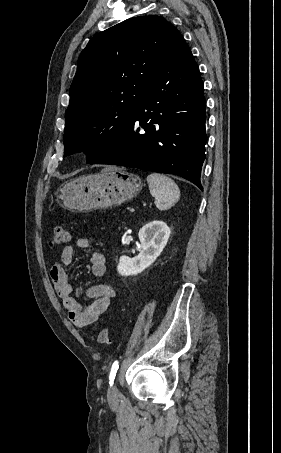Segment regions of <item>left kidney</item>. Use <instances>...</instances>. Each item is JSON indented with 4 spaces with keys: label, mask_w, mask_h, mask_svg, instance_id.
<instances>
[{
    "label": "left kidney",
    "mask_w": 281,
    "mask_h": 453,
    "mask_svg": "<svg viewBox=\"0 0 281 453\" xmlns=\"http://www.w3.org/2000/svg\"><path fill=\"white\" fill-rule=\"evenodd\" d=\"M171 229L163 220H151L140 229L138 237L141 243V251L137 257H120L117 271L122 277L138 275L150 267L157 257L161 255L168 243Z\"/></svg>",
    "instance_id": "left-kidney-1"
}]
</instances>
